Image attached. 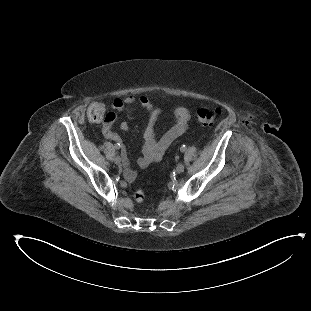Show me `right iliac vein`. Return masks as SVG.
<instances>
[{
  "label": "right iliac vein",
  "mask_w": 311,
  "mask_h": 311,
  "mask_svg": "<svg viewBox=\"0 0 311 311\" xmlns=\"http://www.w3.org/2000/svg\"><path fill=\"white\" fill-rule=\"evenodd\" d=\"M115 164L120 165L121 163V158L119 156H116L114 159Z\"/></svg>",
  "instance_id": "obj_1"
}]
</instances>
